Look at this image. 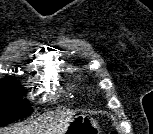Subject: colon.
<instances>
[{"instance_id":"1","label":"colon","mask_w":153,"mask_h":134,"mask_svg":"<svg viewBox=\"0 0 153 134\" xmlns=\"http://www.w3.org/2000/svg\"><path fill=\"white\" fill-rule=\"evenodd\" d=\"M109 134H116L115 132H111V133H109Z\"/></svg>"}]
</instances>
